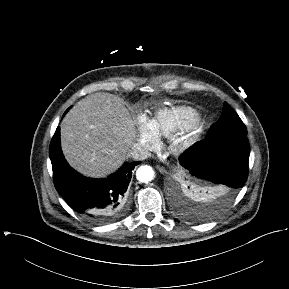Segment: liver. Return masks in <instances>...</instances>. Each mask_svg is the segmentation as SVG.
Listing matches in <instances>:
<instances>
[{
	"instance_id": "liver-1",
	"label": "liver",
	"mask_w": 289,
	"mask_h": 289,
	"mask_svg": "<svg viewBox=\"0 0 289 289\" xmlns=\"http://www.w3.org/2000/svg\"><path fill=\"white\" fill-rule=\"evenodd\" d=\"M136 137L135 122L117 96L97 92L80 100L62 120L61 148L71 167L102 178L125 161Z\"/></svg>"
}]
</instances>
